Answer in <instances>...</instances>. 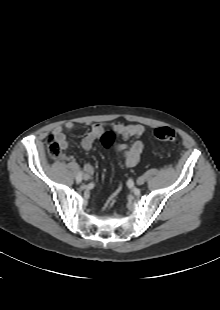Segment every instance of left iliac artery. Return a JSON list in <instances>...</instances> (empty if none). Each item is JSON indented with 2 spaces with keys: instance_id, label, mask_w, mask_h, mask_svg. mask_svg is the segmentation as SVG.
I'll use <instances>...</instances> for the list:
<instances>
[{
  "instance_id": "left-iliac-artery-1",
  "label": "left iliac artery",
  "mask_w": 220,
  "mask_h": 310,
  "mask_svg": "<svg viewBox=\"0 0 220 310\" xmlns=\"http://www.w3.org/2000/svg\"><path fill=\"white\" fill-rule=\"evenodd\" d=\"M134 186V181H133V179H129L128 181H127V187L128 188H132Z\"/></svg>"
}]
</instances>
